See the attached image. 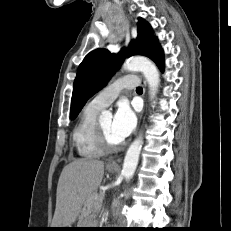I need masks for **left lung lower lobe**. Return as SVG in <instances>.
I'll return each instance as SVG.
<instances>
[{
  "mask_svg": "<svg viewBox=\"0 0 231 231\" xmlns=\"http://www.w3.org/2000/svg\"><path fill=\"white\" fill-rule=\"evenodd\" d=\"M151 59L156 63V65L160 68V70L163 71L164 60H163V52L161 48H159V50Z\"/></svg>",
  "mask_w": 231,
  "mask_h": 231,
  "instance_id": "0a47b994",
  "label": "left lung lower lobe"
}]
</instances>
